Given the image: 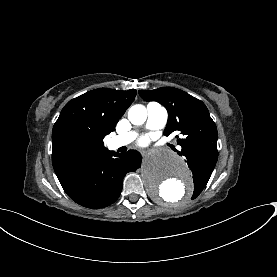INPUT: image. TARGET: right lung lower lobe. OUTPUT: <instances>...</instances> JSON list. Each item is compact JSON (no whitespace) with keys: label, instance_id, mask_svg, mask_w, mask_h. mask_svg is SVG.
Here are the masks:
<instances>
[{"label":"right lung lower lobe","instance_id":"right-lung-lower-lobe-1","mask_svg":"<svg viewBox=\"0 0 277 277\" xmlns=\"http://www.w3.org/2000/svg\"><path fill=\"white\" fill-rule=\"evenodd\" d=\"M142 157L136 151L126 154L105 152L93 156L57 176L64 191L76 203L92 209L114 203L122 191L123 178L136 171Z\"/></svg>","mask_w":277,"mask_h":277}]
</instances>
